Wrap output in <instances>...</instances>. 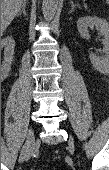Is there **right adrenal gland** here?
<instances>
[{
  "label": "right adrenal gland",
  "mask_w": 109,
  "mask_h": 170,
  "mask_svg": "<svg viewBox=\"0 0 109 170\" xmlns=\"http://www.w3.org/2000/svg\"><path fill=\"white\" fill-rule=\"evenodd\" d=\"M25 8H26V0L23 1L22 6H21V9H20V11L17 13V16H20L22 13H23V15H26Z\"/></svg>",
  "instance_id": "1"
}]
</instances>
